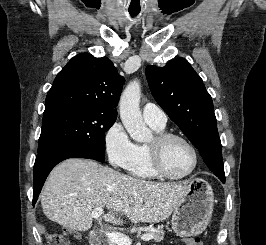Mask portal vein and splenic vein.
<instances>
[{
  "instance_id": "18ae733b",
  "label": "portal vein and splenic vein",
  "mask_w": 266,
  "mask_h": 245,
  "mask_svg": "<svg viewBox=\"0 0 266 245\" xmlns=\"http://www.w3.org/2000/svg\"><path fill=\"white\" fill-rule=\"evenodd\" d=\"M104 209L102 207H96L93 209L91 213L92 219H99L100 215H102ZM107 239L111 241V243H115V245H132V241L130 237L127 235H122V233H106ZM141 241H152L154 239L153 235H140Z\"/></svg>"
}]
</instances>
